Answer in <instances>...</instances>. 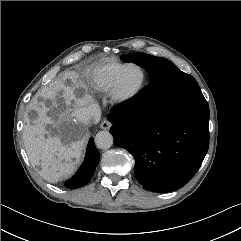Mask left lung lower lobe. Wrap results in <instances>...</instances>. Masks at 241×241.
Masks as SVG:
<instances>
[{
    "instance_id": "0a47b994",
    "label": "left lung lower lobe",
    "mask_w": 241,
    "mask_h": 241,
    "mask_svg": "<svg viewBox=\"0 0 241 241\" xmlns=\"http://www.w3.org/2000/svg\"><path fill=\"white\" fill-rule=\"evenodd\" d=\"M110 133L135 158V176L153 192L187 184L209 147V107L200 90L173 99L161 76L123 105L112 108Z\"/></svg>"
}]
</instances>
